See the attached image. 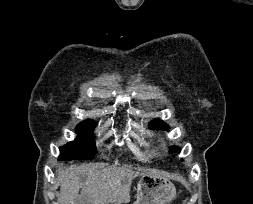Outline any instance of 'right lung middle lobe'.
Masks as SVG:
<instances>
[{
	"label": "right lung middle lobe",
	"instance_id": "dd1d6c3e",
	"mask_svg": "<svg viewBox=\"0 0 253 204\" xmlns=\"http://www.w3.org/2000/svg\"><path fill=\"white\" fill-rule=\"evenodd\" d=\"M95 127L93 120H86L77 126L79 136L76 140L60 147L61 159H92L96 149L90 134Z\"/></svg>",
	"mask_w": 253,
	"mask_h": 204
}]
</instances>
